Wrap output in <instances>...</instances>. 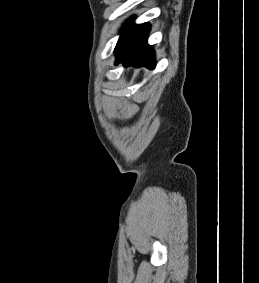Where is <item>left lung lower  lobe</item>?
Returning <instances> with one entry per match:
<instances>
[{"mask_svg":"<svg viewBox=\"0 0 259 283\" xmlns=\"http://www.w3.org/2000/svg\"><path fill=\"white\" fill-rule=\"evenodd\" d=\"M149 30V24L126 25L115 47L116 64L155 67L154 50L147 44Z\"/></svg>","mask_w":259,"mask_h":283,"instance_id":"left-lung-lower-lobe-1","label":"left lung lower lobe"}]
</instances>
